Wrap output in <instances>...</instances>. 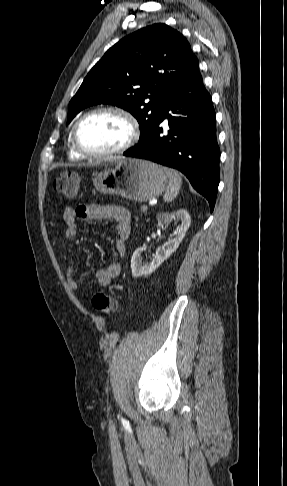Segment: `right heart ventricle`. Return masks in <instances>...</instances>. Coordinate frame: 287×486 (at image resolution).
I'll return each instance as SVG.
<instances>
[{
	"label": "right heart ventricle",
	"mask_w": 287,
	"mask_h": 486,
	"mask_svg": "<svg viewBox=\"0 0 287 486\" xmlns=\"http://www.w3.org/2000/svg\"><path fill=\"white\" fill-rule=\"evenodd\" d=\"M68 145H69V151H68V153H69L70 157H72V158H77V159L82 157V155H80V154H79V153H78V152L75 150V148H74V146H73V144H72V138H71V137H70V139H69V144H68Z\"/></svg>",
	"instance_id": "right-heart-ventricle-1"
}]
</instances>
